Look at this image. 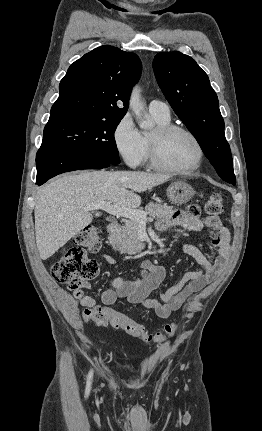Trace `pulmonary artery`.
I'll list each match as a JSON object with an SVG mask.
<instances>
[{"label": "pulmonary artery", "instance_id": "pulmonary-artery-1", "mask_svg": "<svg viewBox=\"0 0 262 431\" xmlns=\"http://www.w3.org/2000/svg\"><path fill=\"white\" fill-rule=\"evenodd\" d=\"M149 111L163 117L170 116L169 106L165 102L159 100H152L149 103Z\"/></svg>", "mask_w": 262, "mask_h": 431}]
</instances>
